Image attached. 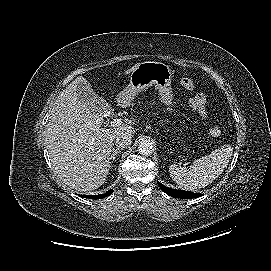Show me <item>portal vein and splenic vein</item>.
<instances>
[{
    "label": "portal vein and splenic vein",
    "instance_id": "18ae733b",
    "mask_svg": "<svg viewBox=\"0 0 271 271\" xmlns=\"http://www.w3.org/2000/svg\"><path fill=\"white\" fill-rule=\"evenodd\" d=\"M121 124H122V119L116 118L110 122V127H117V126H120Z\"/></svg>",
    "mask_w": 271,
    "mask_h": 271
}]
</instances>
